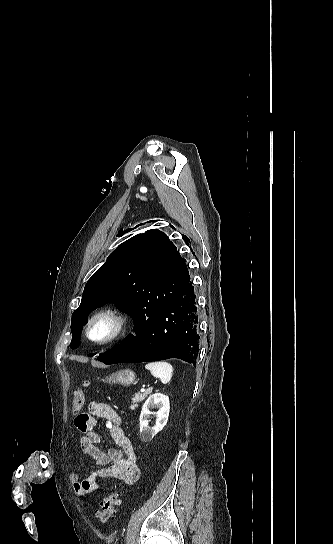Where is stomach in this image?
I'll list each match as a JSON object with an SVG mask.
<instances>
[{
  "instance_id": "0dacf381",
  "label": "stomach",
  "mask_w": 333,
  "mask_h": 544,
  "mask_svg": "<svg viewBox=\"0 0 333 544\" xmlns=\"http://www.w3.org/2000/svg\"><path fill=\"white\" fill-rule=\"evenodd\" d=\"M135 379H136L135 373L129 369H126V370H121L119 372L113 373L108 378V381L126 386V385L133 384Z\"/></svg>"
}]
</instances>
